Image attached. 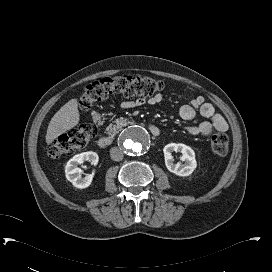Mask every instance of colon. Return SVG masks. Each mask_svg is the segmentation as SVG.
Wrapping results in <instances>:
<instances>
[{
  "label": "colon",
  "instance_id": "1",
  "mask_svg": "<svg viewBox=\"0 0 272 272\" xmlns=\"http://www.w3.org/2000/svg\"><path fill=\"white\" fill-rule=\"evenodd\" d=\"M165 90V83L147 76L105 77L88 85L81 98L80 109L89 110L95 103L103 101L114 93L127 97H152ZM97 134V128L90 123L80 124L70 132L57 137L50 145L49 154L53 157L71 155L84 148ZM211 150L218 156H224L229 150V138L224 132H217L211 138Z\"/></svg>",
  "mask_w": 272,
  "mask_h": 272
}]
</instances>
